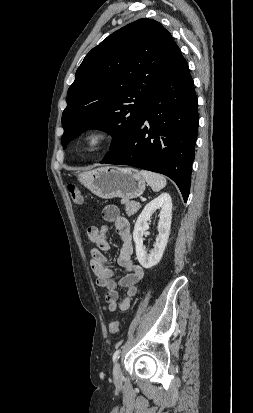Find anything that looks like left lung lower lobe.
<instances>
[{
    "label": "left lung lower lobe",
    "instance_id": "0a47b994",
    "mask_svg": "<svg viewBox=\"0 0 253 413\" xmlns=\"http://www.w3.org/2000/svg\"><path fill=\"white\" fill-rule=\"evenodd\" d=\"M148 121V126L144 122ZM199 124L198 101L188 64L177 53L167 77L148 101L129 143L101 163L129 165L164 174L189 196Z\"/></svg>",
    "mask_w": 253,
    "mask_h": 413
}]
</instances>
